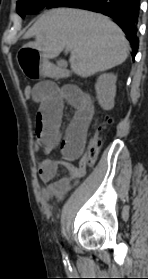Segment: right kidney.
<instances>
[{"label": "right kidney", "mask_w": 148, "mask_h": 279, "mask_svg": "<svg viewBox=\"0 0 148 279\" xmlns=\"http://www.w3.org/2000/svg\"><path fill=\"white\" fill-rule=\"evenodd\" d=\"M117 77L112 73L101 74L95 84L97 100L102 109L108 111L114 107Z\"/></svg>", "instance_id": "right-kidney-1"}]
</instances>
